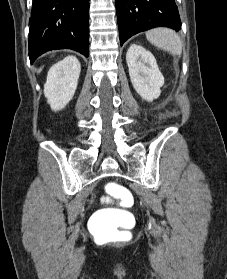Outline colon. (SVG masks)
Here are the masks:
<instances>
[{
  "label": "colon",
  "mask_w": 227,
  "mask_h": 279,
  "mask_svg": "<svg viewBox=\"0 0 227 279\" xmlns=\"http://www.w3.org/2000/svg\"><path fill=\"white\" fill-rule=\"evenodd\" d=\"M106 192L125 204L130 199V192L117 183H108L105 186ZM130 214L124 208L102 210L96 214V221L92 225L93 232L99 237L116 236L120 234L125 223L129 220Z\"/></svg>",
  "instance_id": "colon-1"
}]
</instances>
